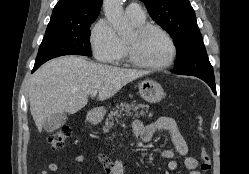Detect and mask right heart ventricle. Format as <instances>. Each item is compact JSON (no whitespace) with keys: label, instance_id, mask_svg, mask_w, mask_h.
Here are the masks:
<instances>
[{"label":"right heart ventricle","instance_id":"right-heart-ventricle-1","mask_svg":"<svg viewBox=\"0 0 249 174\" xmlns=\"http://www.w3.org/2000/svg\"><path fill=\"white\" fill-rule=\"evenodd\" d=\"M129 19H130V21H131V23L133 24L134 27H138L140 25L145 24V17H142V18H132V17H129ZM122 44H123V48H124V51H125V47H124L125 40H122Z\"/></svg>","mask_w":249,"mask_h":174}]
</instances>
